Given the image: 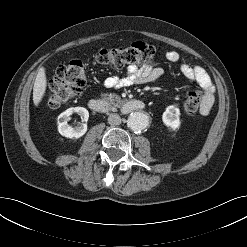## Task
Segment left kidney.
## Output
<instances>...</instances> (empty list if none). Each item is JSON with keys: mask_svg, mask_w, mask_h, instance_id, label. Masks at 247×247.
Wrapping results in <instances>:
<instances>
[{"mask_svg": "<svg viewBox=\"0 0 247 247\" xmlns=\"http://www.w3.org/2000/svg\"><path fill=\"white\" fill-rule=\"evenodd\" d=\"M162 121L167 127L176 130L180 127V109L176 105H170L162 115Z\"/></svg>", "mask_w": 247, "mask_h": 247, "instance_id": "left-kidney-1", "label": "left kidney"}]
</instances>
